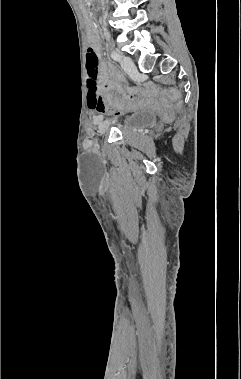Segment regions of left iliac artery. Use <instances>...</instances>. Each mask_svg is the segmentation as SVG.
<instances>
[{
	"label": "left iliac artery",
	"instance_id": "1",
	"mask_svg": "<svg viewBox=\"0 0 241 379\" xmlns=\"http://www.w3.org/2000/svg\"><path fill=\"white\" fill-rule=\"evenodd\" d=\"M111 57H112L115 61H120V58H121L120 54L117 53V52H112V53H111Z\"/></svg>",
	"mask_w": 241,
	"mask_h": 379
}]
</instances>
